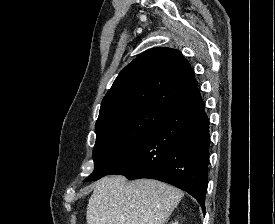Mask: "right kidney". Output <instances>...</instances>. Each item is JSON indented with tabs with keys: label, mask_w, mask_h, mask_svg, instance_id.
<instances>
[{
	"label": "right kidney",
	"mask_w": 275,
	"mask_h": 224,
	"mask_svg": "<svg viewBox=\"0 0 275 224\" xmlns=\"http://www.w3.org/2000/svg\"><path fill=\"white\" fill-rule=\"evenodd\" d=\"M172 224H178L177 222H175V223H172Z\"/></svg>",
	"instance_id": "right-kidney-1"
}]
</instances>
